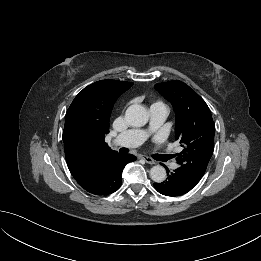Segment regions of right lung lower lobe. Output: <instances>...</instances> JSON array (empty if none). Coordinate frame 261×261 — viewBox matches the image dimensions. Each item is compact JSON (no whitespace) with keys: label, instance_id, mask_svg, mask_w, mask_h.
Returning <instances> with one entry per match:
<instances>
[{"label":"right lung lower lobe","instance_id":"98d812e1","mask_svg":"<svg viewBox=\"0 0 261 261\" xmlns=\"http://www.w3.org/2000/svg\"><path fill=\"white\" fill-rule=\"evenodd\" d=\"M131 154L114 153L101 160L84 178L77 180L86 191L96 195H107L117 191L121 184V173L127 163L135 161Z\"/></svg>","mask_w":261,"mask_h":261}]
</instances>
